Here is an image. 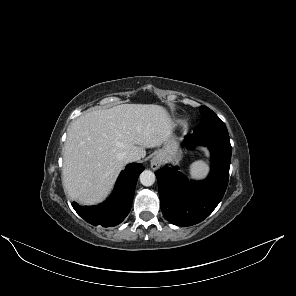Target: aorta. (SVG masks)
I'll list each match as a JSON object with an SVG mask.
<instances>
[{
  "instance_id": "1",
  "label": "aorta",
  "mask_w": 296,
  "mask_h": 296,
  "mask_svg": "<svg viewBox=\"0 0 296 296\" xmlns=\"http://www.w3.org/2000/svg\"><path fill=\"white\" fill-rule=\"evenodd\" d=\"M140 182L144 186H151L154 184L156 176L150 170H144L139 176Z\"/></svg>"
}]
</instances>
